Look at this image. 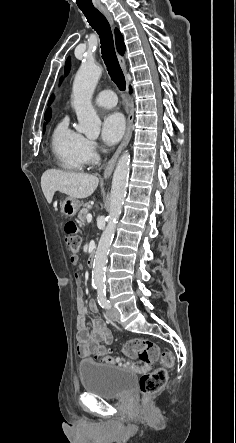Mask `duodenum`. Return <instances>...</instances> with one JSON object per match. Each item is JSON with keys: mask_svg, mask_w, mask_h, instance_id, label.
<instances>
[{"mask_svg": "<svg viewBox=\"0 0 236 443\" xmlns=\"http://www.w3.org/2000/svg\"><path fill=\"white\" fill-rule=\"evenodd\" d=\"M94 260H95V254L94 253H90L89 256H88V259H87V265L89 267H91L93 265V263H94Z\"/></svg>", "mask_w": 236, "mask_h": 443, "instance_id": "410a0bca", "label": "duodenum"}]
</instances>
